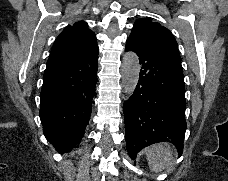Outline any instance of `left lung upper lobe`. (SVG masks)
Here are the masks:
<instances>
[{
  "label": "left lung upper lobe",
  "instance_id": "1",
  "mask_svg": "<svg viewBox=\"0 0 228 181\" xmlns=\"http://www.w3.org/2000/svg\"><path fill=\"white\" fill-rule=\"evenodd\" d=\"M128 39L149 49L181 59L172 33L149 18L137 20Z\"/></svg>",
  "mask_w": 228,
  "mask_h": 181
}]
</instances>
